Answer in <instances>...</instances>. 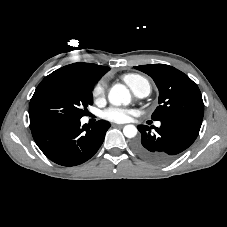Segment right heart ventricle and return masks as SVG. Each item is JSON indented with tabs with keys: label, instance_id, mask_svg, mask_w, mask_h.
Wrapping results in <instances>:
<instances>
[{
	"label": "right heart ventricle",
	"instance_id": "obj_1",
	"mask_svg": "<svg viewBox=\"0 0 227 227\" xmlns=\"http://www.w3.org/2000/svg\"><path fill=\"white\" fill-rule=\"evenodd\" d=\"M122 79L134 93L142 89H146L149 93L151 90L148 80L139 74L128 73L125 74Z\"/></svg>",
	"mask_w": 227,
	"mask_h": 227
}]
</instances>
